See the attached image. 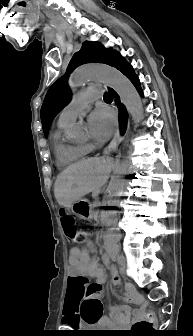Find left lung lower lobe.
Returning a JSON list of instances; mask_svg holds the SVG:
<instances>
[{"label":"left lung lower lobe","mask_w":193,"mask_h":336,"mask_svg":"<svg viewBox=\"0 0 193 336\" xmlns=\"http://www.w3.org/2000/svg\"><path fill=\"white\" fill-rule=\"evenodd\" d=\"M112 66L122 72L133 83L139 93L143 95L138 77L134 74L132 66L123 57L118 54ZM111 94L115 97V103L119 108V123L123 133L127 122V112L124 106L120 104L117 94L113 90H111Z\"/></svg>","instance_id":"obj_1"}]
</instances>
